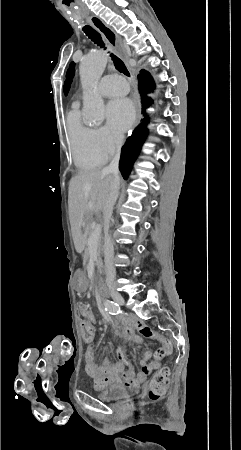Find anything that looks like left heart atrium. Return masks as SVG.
I'll return each mask as SVG.
<instances>
[{
  "instance_id": "obj_1",
  "label": "left heart atrium",
  "mask_w": 241,
  "mask_h": 450,
  "mask_svg": "<svg viewBox=\"0 0 241 450\" xmlns=\"http://www.w3.org/2000/svg\"><path fill=\"white\" fill-rule=\"evenodd\" d=\"M108 125L116 133L128 130L135 120V109L130 99L118 98L117 102L108 105Z\"/></svg>"
}]
</instances>
